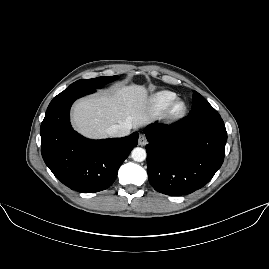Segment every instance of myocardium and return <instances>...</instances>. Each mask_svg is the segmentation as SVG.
<instances>
[{
    "mask_svg": "<svg viewBox=\"0 0 269 269\" xmlns=\"http://www.w3.org/2000/svg\"><path fill=\"white\" fill-rule=\"evenodd\" d=\"M186 111V104L181 100H176L170 106L168 117L171 119H177L184 115Z\"/></svg>",
    "mask_w": 269,
    "mask_h": 269,
    "instance_id": "myocardium-1",
    "label": "myocardium"
}]
</instances>
